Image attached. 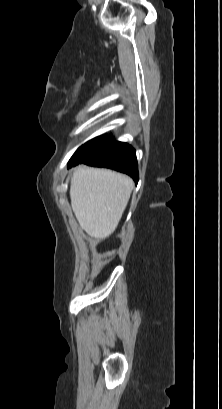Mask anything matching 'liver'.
<instances>
[{
	"mask_svg": "<svg viewBox=\"0 0 222 409\" xmlns=\"http://www.w3.org/2000/svg\"><path fill=\"white\" fill-rule=\"evenodd\" d=\"M134 188L133 180L108 169L79 166L70 185L72 210L80 227L103 239L117 228Z\"/></svg>",
	"mask_w": 222,
	"mask_h": 409,
	"instance_id": "6515ba94",
	"label": "liver"
}]
</instances>
